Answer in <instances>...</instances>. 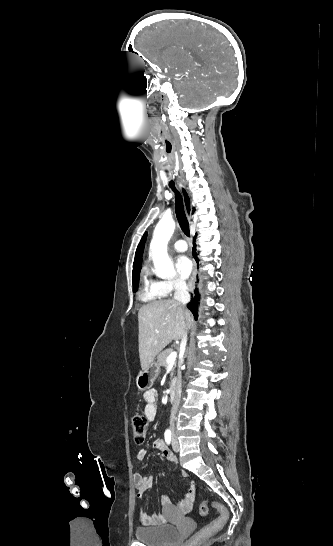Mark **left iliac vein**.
Masks as SVG:
<instances>
[{"label":"left iliac vein","instance_id":"left-iliac-vein-1","mask_svg":"<svg viewBox=\"0 0 333 546\" xmlns=\"http://www.w3.org/2000/svg\"><path fill=\"white\" fill-rule=\"evenodd\" d=\"M172 448L175 452H178L179 451V443L175 437V435L173 434V438H172Z\"/></svg>","mask_w":333,"mask_h":546}]
</instances>
